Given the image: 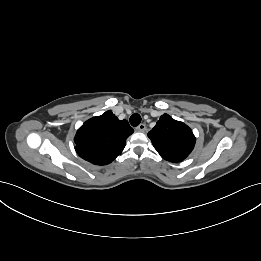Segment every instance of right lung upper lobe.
Segmentation results:
<instances>
[{"label": "right lung upper lobe", "instance_id": "cb5924a9", "mask_svg": "<svg viewBox=\"0 0 261 261\" xmlns=\"http://www.w3.org/2000/svg\"><path fill=\"white\" fill-rule=\"evenodd\" d=\"M134 132L127 120H119L112 111L86 121L74 141L77 154L95 165L111 163L121 154L125 140Z\"/></svg>", "mask_w": 261, "mask_h": 261}]
</instances>
